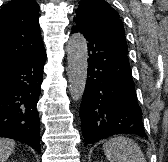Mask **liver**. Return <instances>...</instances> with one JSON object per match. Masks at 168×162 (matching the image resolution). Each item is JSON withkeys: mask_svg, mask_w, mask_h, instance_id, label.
Instances as JSON below:
<instances>
[{"mask_svg": "<svg viewBox=\"0 0 168 162\" xmlns=\"http://www.w3.org/2000/svg\"><path fill=\"white\" fill-rule=\"evenodd\" d=\"M15 141L7 138H0V162L6 161L15 149Z\"/></svg>", "mask_w": 168, "mask_h": 162, "instance_id": "6515ba94", "label": "liver"}]
</instances>
